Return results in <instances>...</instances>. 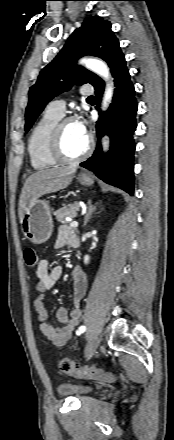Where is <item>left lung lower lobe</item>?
<instances>
[{"mask_svg":"<svg viewBox=\"0 0 174 440\" xmlns=\"http://www.w3.org/2000/svg\"><path fill=\"white\" fill-rule=\"evenodd\" d=\"M108 65L116 86L113 101L97 122L96 131L99 143L96 151L92 157L80 165L93 171L106 183L133 195V153L135 151L133 133L137 126L135 115L138 104L135 100L134 86L130 80L123 53L119 52L115 55ZM93 86L95 94L100 100L104 91V81L99 79ZM104 133H107L111 138V147L107 154H103L100 145V138Z\"/></svg>","mask_w":174,"mask_h":440,"instance_id":"0a47b994","label":"left lung lower lobe"}]
</instances>
